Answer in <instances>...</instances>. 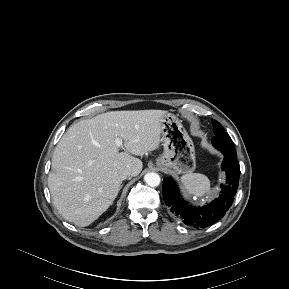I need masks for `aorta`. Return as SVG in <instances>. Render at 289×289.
Here are the masks:
<instances>
[{
	"mask_svg": "<svg viewBox=\"0 0 289 289\" xmlns=\"http://www.w3.org/2000/svg\"><path fill=\"white\" fill-rule=\"evenodd\" d=\"M144 181L150 187H156L160 184V176L157 173L150 172L144 176Z\"/></svg>",
	"mask_w": 289,
	"mask_h": 289,
	"instance_id": "1",
	"label": "aorta"
}]
</instances>
